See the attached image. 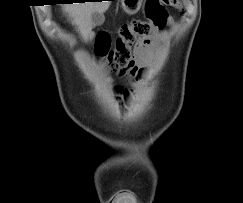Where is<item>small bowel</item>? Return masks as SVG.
I'll return each instance as SVG.
<instances>
[{
	"label": "small bowel",
	"instance_id": "c3829d8e",
	"mask_svg": "<svg viewBox=\"0 0 243 203\" xmlns=\"http://www.w3.org/2000/svg\"><path fill=\"white\" fill-rule=\"evenodd\" d=\"M171 24L173 20L169 18ZM167 40V33L163 30H157L150 38L142 39L134 48L132 61L125 70L120 72V76L126 81H142L145 78L147 65L161 52ZM112 79H109V83ZM115 91L118 100L122 105H127L130 101L131 92L122 86H116Z\"/></svg>",
	"mask_w": 243,
	"mask_h": 203
}]
</instances>
